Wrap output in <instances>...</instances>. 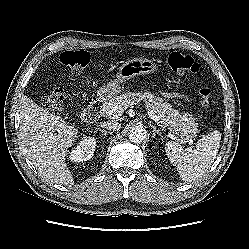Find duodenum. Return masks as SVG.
I'll return each mask as SVG.
<instances>
[{
  "instance_id": "1",
  "label": "duodenum",
  "mask_w": 249,
  "mask_h": 249,
  "mask_svg": "<svg viewBox=\"0 0 249 249\" xmlns=\"http://www.w3.org/2000/svg\"><path fill=\"white\" fill-rule=\"evenodd\" d=\"M103 106V100L96 98L92 100L88 106L82 112V119L86 122H94L99 118L101 109Z\"/></svg>"
}]
</instances>
